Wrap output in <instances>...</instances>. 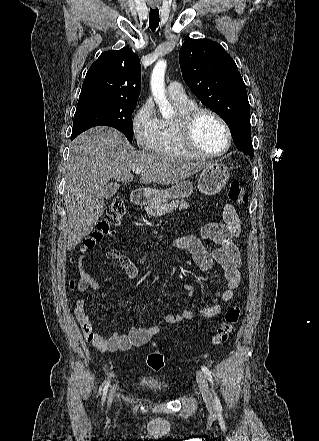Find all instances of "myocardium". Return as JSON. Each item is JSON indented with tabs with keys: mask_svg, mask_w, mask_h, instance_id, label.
<instances>
[{
	"mask_svg": "<svg viewBox=\"0 0 319 441\" xmlns=\"http://www.w3.org/2000/svg\"><path fill=\"white\" fill-rule=\"evenodd\" d=\"M208 115L213 117L215 120H217L222 128L225 131L226 134V145L225 147L214 153L206 152L200 149L194 140V132L195 127L199 119L204 116ZM177 127H178V133H179V139L182 144V146L192 155L199 157V158H215L222 156L225 154L232 144V133L229 128V125L225 121V119L220 116L215 111L205 108V107H198L195 106L191 108L190 110L180 114L177 117Z\"/></svg>",
	"mask_w": 319,
	"mask_h": 441,
	"instance_id": "myocardium-1",
	"label": "myocardium"
}]
</instances>
